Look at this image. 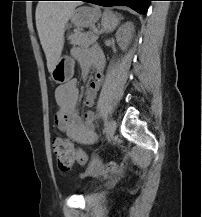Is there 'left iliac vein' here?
I'll use <instances>...</instances> for the list:
<instances>
[{"mask_svg": "<svg viewBox=\"0 0 202 217\" xmlns=\"http://www.w3.org/2000/svg\"><path fill=\"white\" fill-rule=\"evenodd\" d=\"M116 130V122L113 119H109L105 122V134L107 140H111Z\"/></svg>", "mask_w": 202, "mask_h": 217, "instance_id": "obj_1", "label": "left iliac vein"}]
</instances>
